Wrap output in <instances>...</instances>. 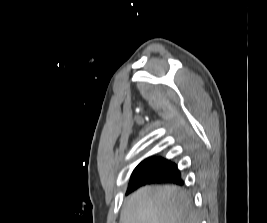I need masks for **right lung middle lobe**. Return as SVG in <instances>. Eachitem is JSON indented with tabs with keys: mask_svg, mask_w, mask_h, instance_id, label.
<instances>
[{
	"mask_svg": "<svg viewBox=\"0 0 267 223\" xmlns=\"http://www.w3.org/2000/svg\"><path fill=\"white\" fill-rule=\"evenodd\" d=\"M176 168L177 166L174 163L166 159L152 158L139 164L134 170L132 175L140 173V172H146V171L170 173L174 171Z\"/></svg>",
	"mask_w": 267,
	"mask_h": 223,
	"instance_id": "1",
	"label": "right lung middle lobe"
}]
</instances>
